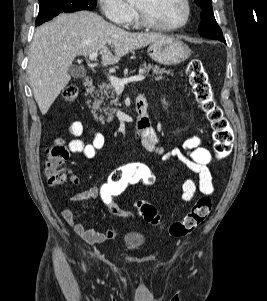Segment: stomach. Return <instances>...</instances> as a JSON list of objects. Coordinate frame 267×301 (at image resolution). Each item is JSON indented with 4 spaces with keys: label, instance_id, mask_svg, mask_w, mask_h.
<instances>
[{
    "label": "stomach",
    "instance_id": "1",
    "mask_svg": "<svg viewBox=\"0 0 267 301\" xmlns=\"http://www.w3.org/2000/svg\"><path fill=\"white\" fill-rule=\"evenodd\" d=\"M149 56L163 65H176L188 59L192 51L181 40L165 36L150 44L147 50Z\"/></svg>",
    "mask_w": 267,
    "mask_h": 301
}]
</instances>
